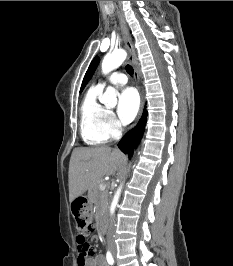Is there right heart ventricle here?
Returning a JSON list of instances; mask_svg holds the SVG:
<instances>
[{
    "label": "right heart ventricle",
    "instance_id": "obj_1",
    "mask_svg": "<svg viewBox=\"0 0 233 266\" xmlns=\"http://www.w3.org/2000/svg\"><path fill=\"white\" fill-rule=\"evenodd\" d=\"M102 88L92 86L86 93L80 109V133L88 145L103 144L109 138L104 129L107 109L98 101Z\"/></svg>",
    "mask_w": 233,
    "mask_h": 266
}]
</instances>
